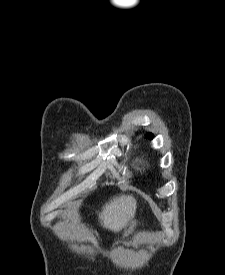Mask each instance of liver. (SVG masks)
Returning a JSON list of instances; mask_svg holds the SVG:
<instances>
[{
    "label": "liver",
    "mask_w": 225,
    "mask_h": 275,
    "mask_svg": "<svg viewBox=\"0 0 225 275\" xmlns=\"http://www.w3.org/2000/svg\"><path fill=\"white\" fill-rule=\"evenodd\" d=\"M136 200L131 195L114 197L102 207L99 219L103 227L117 232L135 214Z\"/></svg>",
    "instance_id": "6515ba94"
}]
</instances>
